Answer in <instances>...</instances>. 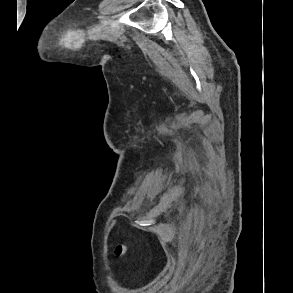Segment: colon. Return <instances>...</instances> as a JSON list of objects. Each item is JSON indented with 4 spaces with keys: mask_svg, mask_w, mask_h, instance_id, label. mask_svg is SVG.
Wrapping results in <instances>:
<instances>
[{
    "mask_svg": "<svg viewBox=\"0 0 293 293\" xmlns=\"http://www.w3.org/2000/svg\"><path fill=\"white\" fill-rule=\"evenodd\" d=\"M126 251H127V247L122 244L117 245L115 248V253L117 255H123L124 253H126Z\"/></svg>",
    "mask_w": 293,
    "mask_h": 293,
    "instance_id": "5ec220e1",
    "label": "colon"
}]
</instances>
